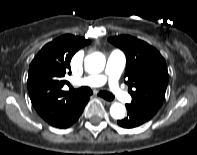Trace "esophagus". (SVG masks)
I'll return each mask as SVG.
<instances>
[{"label": "esophagus", "mask_w": 197, "mask_h": 155, "mask_svg": "<svg viewBox=\"0 0 197 155\" xmlns=\"http://www.w3.org/2000/svg\"><path fill=\"white\" fill-rule=\"evenodd\" d=\"M100 100H101L104 104H107V105L111 104L110 101H107V100H105V99H103V98H100Z\"/></svg>", "instance_id": "obj_1"}]
</instances>
